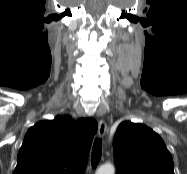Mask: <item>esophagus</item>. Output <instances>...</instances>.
<instances>
[{
	"label": "esophagus",
	"instance_id": "esophagus-1",
	"mask_svg": "<svg viewBox=\"0 0 187 174\" xmlns=\"http://www.w3.org/2000/svg\"><path fill=\"white\" fill-rule=\"evenodd\" d=\"M106 123L103 119H100L98 121V135L99 137H104L105 133H106Z\"/></svg>",
	"mask_w": 187,
	"mask_h": 174
}]
</instances>
